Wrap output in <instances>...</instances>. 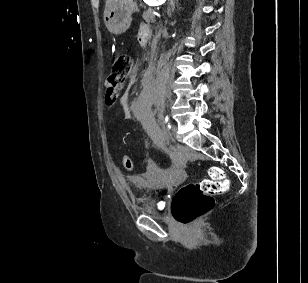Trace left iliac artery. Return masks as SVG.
I'll use <instances>...</instances> for the list:
<instances>
[{"instance_id":"1","label":"left iliac artery","mask_w":308,"mask_h":283,"mask_svg":"<svg viewBox=\"0 0 308 283\" xmlns=\"http://www.w3.org/2000/svg\"><path fill=\"white\" fill-rule=\"evenodd\" d=\"M165 126H166V128H167V130H170V128H171V125H170V120H169V118L168 117H165Z\"/></svg>"}]
</instances>
